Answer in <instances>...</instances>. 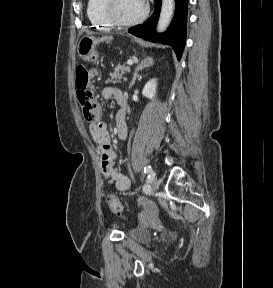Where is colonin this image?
I'll use <instances>...</instances> for the list:
<instances>
[{
	"label": "colon",
	"mask_w": 273,
	"mask_h": 288,
	"mask_svg": "<svg viewBox=\"0 0 273 288\" xmlns=\"http://www.w3.org/2000/svg\"><path fill=\"white\" fill-rule=\"evenodd\" d=\"M78 54L85 62L96 60L97 53L92 39L88 37L81 39L78 44ZM92 76L93 72L84 66H78L75 70L76 96L82 110L83 118L87 122L95 123L100 118V109L94 99V94L90 85ZM106 202L111 212L119 216L122 215L123 207L116 195L108 194Z\"/></svg>",
	"instance_id": "obj_1"
}]
</instances>
